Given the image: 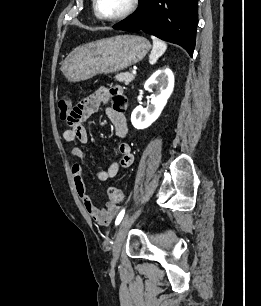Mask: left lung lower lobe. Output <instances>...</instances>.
Instances as JSON below:
<instances>
[{
	"mask_svg": "<svg viewBox=\"0 0 261 306\" xmlns=\"http://www.w3.org/2000/svg\"><path fill=\"white\" fill-rule=\"evenodd\" d=\"M198 23V0H139L135 13L113 26L138 31L182 46L193 55Z\"/></svg>",
	"mask_w": 261,
	"mask_h": 306,
	"instance_id": "0a47b994",
	"label": "left lung lower lobe"
}]
</instances>
